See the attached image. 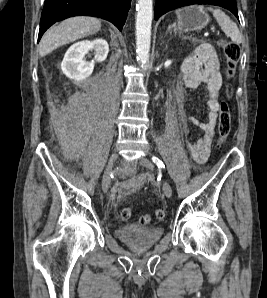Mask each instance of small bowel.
Returning a JSON list of instances; mask_svg holds the SVG:
<instances>
[{"instance_id": "small-bowel-1", "label": "small bowel", "mask_w": 267, "mask_h": 298, "mask_svg": "<svg viewBox=\"0 0 267 298\" xmlns=\"http://www.w3.org/2000/svg\"><path fill=\"white\" fill-rule=\"evenodd\" d=\"M219 67L218 55L213 46L209 44L199 46L194 54L183 61L181 67L185 87L196 89L201 84H205L207 90V121L199 122L194 118L187 119V122L197 126L202 131V137L191 146V153L199 164L207 161L215 134L219 112L218 96L222 86ZM183 131L188 134L186 125H184Z\"/></svg>"}]
</instances>
